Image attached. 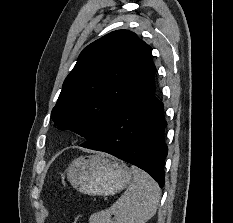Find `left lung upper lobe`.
<instances>
[{
    "label": "left lung upper lobe",
    "instance_id": "obj_1",
    "mask_svg": "<svg viewBox=\"0 0 233 223\" xmlns=\"http://www.w3.org/2000/svg\"><path fill=\"white\" fill-rule=\"evenodd\" d=\"M152 48L127 30L88 45L66 77L52 110L54 125L89 143L154 67Z\"/></svg>",
    "mask_w": 233,
    "mask_h": 223
}]
</instances>
